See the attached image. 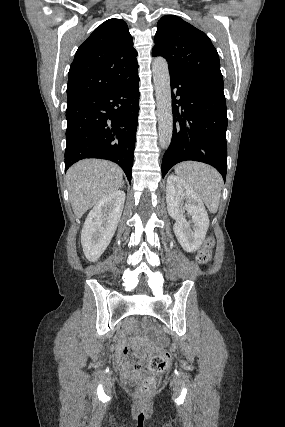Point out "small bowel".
<instances>
[{"mask_svg": "<svg viewBox=\"0 0 285 427\" xmlns=\"http://www.w3.org/2000/svg\"><path fill=\"white\" fill-rule=\"evenodd\" d=\"M123 346H124L123 340H121L117 343V345H116V356H117V359H118V362L120 363V365H122L123 368L128 372L130 370V363L126 357L121 355V350H122Z\"/></svg>", "mask_w": 285, "mask_h": 427, "instance_id": "c3829d8e", "label": "small bowel"}]
</instances>
